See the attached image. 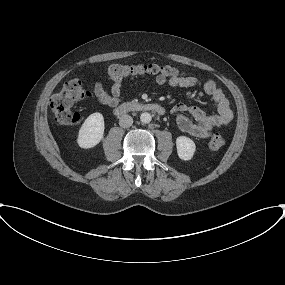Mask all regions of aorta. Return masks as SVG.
<instances>
[{
	"mask_svg": "<svg viewBox=\"0 0 285 285\" xmlns=\"http://www.w3.org/2000/svg\"><path fill=\"white\" fill-rule=\"evenodd\" d=\"M151 119H152V117H151V114L150 113H148V112H144V113H142L141 114V116H140V121L142 122V123H149L150 121H151Z\"/></svg>",
	"mask_w": 285,
	"mask_h": 285,
	"instance_id": "aorta-1",
	"label": "aorta"
}]
</instances>
